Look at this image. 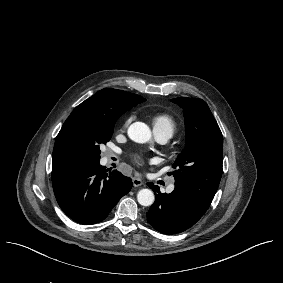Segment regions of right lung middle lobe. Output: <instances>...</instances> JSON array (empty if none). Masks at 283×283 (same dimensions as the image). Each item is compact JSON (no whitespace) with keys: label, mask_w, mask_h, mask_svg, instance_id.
Instances as JSON below:
<instances>
[{"label":"right lung middle lobe","mask_w":283,"mask_h":283,"mask_svg":"<svg viewBox=\"0 0 283 283\" xmlns=\"http://www.w3.org/2000/svg\"><path fill=\"white\" fill-rule=\"evenodd\" d=\"M117 118L108 122L81 125L76 133L79 149L88 164L99 162L100 145L106 144L114 131Z\"/></svg>","instance_id":"dd1d6c3e"}]
</instances>
